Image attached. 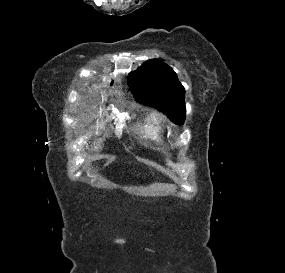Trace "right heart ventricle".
Wrapping results in <instances>:
<instances>
[{
	"instance_id": "e07e8e85",
	"label": "right heart ventricle",
	"mask_w": 285,
	"mask_h": 273,
	"mask_svg": "<svg viewBox=\"0 0 285 273\" xmlns=\"http://www.w3.org/2000/svg\"><path fill=\"white\" fill-rule=\"evenodd\" d=\"M141 135L143 138L156 144H162L169 136L168 128L162 118L155 113L147 116L141 127Z\"/></svg>"
}]
</instances>
